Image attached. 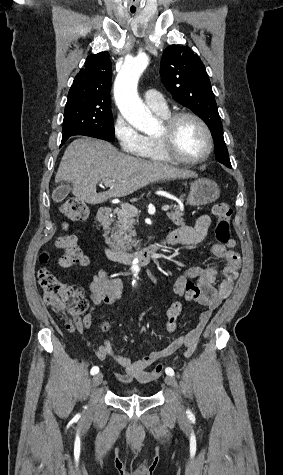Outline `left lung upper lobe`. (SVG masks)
<instances>
[{"mask_svg":"<svg viewBox=\"0 0 283 475\" xmlns=\"http://www.w3.org/2000/svg\"><path fill=\"white\" fill-rule=\"evenodd\" d=\"M160 76L173 98L191 109L209 126L212 134L223 127L208 74L200 57L188 46H168L161 58Z\"/></svg>","mask_w":283,"mask_h":475,"instance_id":"left-lung-upper-lobe-1","label":"left lung upper lobe"}]
</instances>
